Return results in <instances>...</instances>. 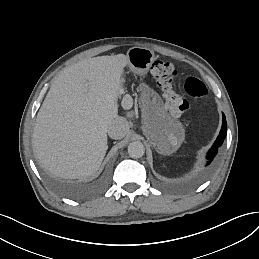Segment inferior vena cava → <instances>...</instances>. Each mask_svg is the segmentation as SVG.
<instances>
[{
  "mask_svg": "<svg viewBox=\"0 0 259 259\" xmlns=\"http://www.w3.org/2000/svg\"><path fill=\"white\" fill-rule=\"evenodd\" d=\"M128 129V121L118 116L108 125L107 133L112 139H122L127 134Z\"/></svg>",
  "mask_w": 259,
  "mask_h": 259,
  "instance_id": "obj_1",
  "label": "inferior vena cava"
}]
</instances>
